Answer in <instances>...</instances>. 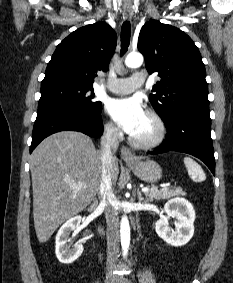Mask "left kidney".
<instances>
[{
    "mask_svg": "<svg viewBox=\"0 0 233 283\" xmlns=\"http://www.w3.org/2000/svg\"><path fill=\"white\" fill-rule=\"evenodd\" d=\"M166 215L155 224V230L159 237L166 243L180 247L189 242L194 234L195 210L192 204L184 198H175L164 206ZM170 217L176 218L175 231L168 225Z\"/></svg>",
    "mask_w": 233,
    "mask_h": 283,
    "instance_id": "left-kidney-1",
    "label": "left kidney"
}]
</instances>
